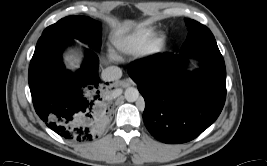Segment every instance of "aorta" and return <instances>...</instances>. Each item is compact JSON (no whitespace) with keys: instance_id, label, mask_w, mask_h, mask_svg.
<instances>
[{"instance_id":"1","label":"aorta","mask_w":267,"mask_h":166,"mask_svg":"<svg viewBox=\"0 0 267 166\" xmlns=\"http://www.w3.org/2000/svg\"><path fill=\"white\" fill-rule=\"evenodd\" d=\"M125 99L128 102H135L139 99V91L134 87H129L125 90Z\"/></svg>"}]
</instances>
